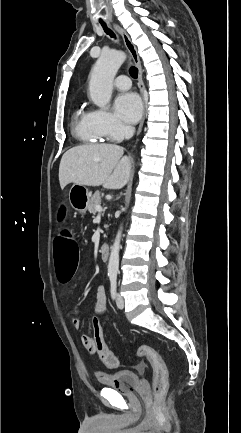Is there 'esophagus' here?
I'll return each instance as SVG.
<instances>
[{
  "mask_svg": "<svg viewBox=\"0 0 241 433\" xmlns=\"http://www.w3.org/2000/svg\"><path fill=\"white\" fill-rule=\"evenodd\" d=\"M114 28L116 29V31L122 36V39L124 41V44L128 50V52L130 53L137 69H138V85L140 88V92L142 95V99H143V106H144V112H143V117L140 121L139 127H138V131H137V135L140 134L142 127H143V123H144V118H145V98H144V82H143V77H142V66H141V61L137 52V49L135 47V45L133 44V42L131 41L128 33L121 28L119 25L114 24Z\"/></svg>",
  "mask_w": 241,
  "mask_h": 433,
  "instance_id": "1",
  "label": "esophagus"
}]
</instances>
